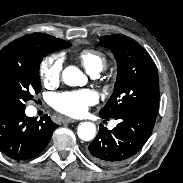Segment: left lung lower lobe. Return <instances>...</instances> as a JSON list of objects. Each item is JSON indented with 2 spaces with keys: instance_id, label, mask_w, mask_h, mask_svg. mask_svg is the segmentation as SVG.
Instances as JSON below:
<instances>
[{
  "instance_id": "0a47b994",
  "label": "left lung lower lobe",
  "mask_w": 183,
  "mask_h": 183,
  "mask_svg": "<svg viewBox=\"0 0 183 183\" xmlns=\"http://www.w3.org/2000/svg\"><path fill=\"white\" fill-rule=\"evenodd\" d=\"M113 118L119 120L117 126L109 131L100 125L99 133L87 150L88 157L103 166L120 164L136 154L148 140L156 121L155 116L132 111Z\"/></svg>"
}]
</instances>
